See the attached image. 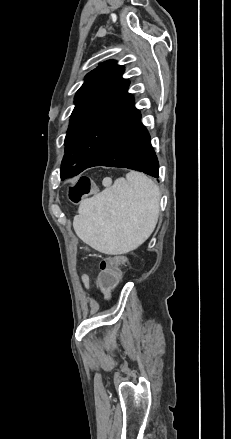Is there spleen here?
<instances>
[{
  "label": "spleen",
  "mask_w": 231,
  "mask_h": 439,
  "mask_svg": "<svg viewBox=\"0 0 231 439\" xmlns=\"http://www.w3.org/2000/svg\"><path fill=\"white\" fill-rule=\"evenodd\" d=\"M160 192L146 175L131 171L126 178L92 198L84 199L73 227L85 243L106 254H125L143 244L159 216Z\"/></svg>",
  "instance_id": "obj_1"
}]
</instances>
